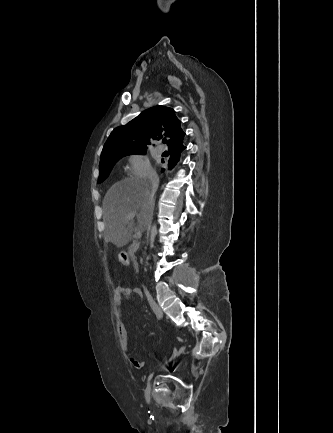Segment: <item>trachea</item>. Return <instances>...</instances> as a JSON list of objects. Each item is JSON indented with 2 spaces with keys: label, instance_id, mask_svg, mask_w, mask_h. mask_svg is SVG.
Instances as JSON below:
<instances>
[{
  "label": "trachea",
  "instance_id": "obj_1",
  "mask_svg": "<svg viewBox=\"0 0 333 433\" xmlns=\"http://www.w3.org/2000/svg\"><path fill=\"white\" fill-rule=\"evenodd\" d=\"M163 143L165 144V143H166V140H163Z\"/></svg>",
  "mask_w": 333,
  "mask_h": 433
}]
</instances>
